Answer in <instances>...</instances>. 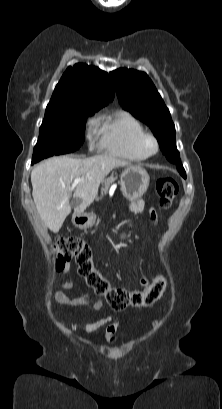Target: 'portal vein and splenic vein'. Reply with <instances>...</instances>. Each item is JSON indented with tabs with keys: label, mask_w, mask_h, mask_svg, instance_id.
<instances>
[{
	"label": "portal vein and splenic vein",
	"mask_w": 222,
	"mask_h": 409,
	"mask_svg": "<svg viewBox=\"0 0 222 409\" xmlns=\"http://www.w3.org/2000/svg\"><path fill=\"white\" fill-rule=\"evenodd\" d=\"M82 180V178H76L74 179L73 183H72V187L71 190H73L75 188V186Z\"/></svg>",
	"instance_id": "obj_1"
}]
</instances>
